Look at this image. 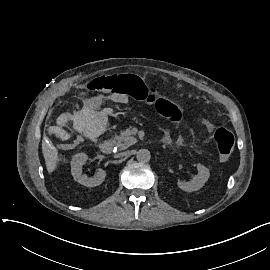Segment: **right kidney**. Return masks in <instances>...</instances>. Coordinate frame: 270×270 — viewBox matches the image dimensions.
Returning <instances> with one entry per match:
<instances>
[{"label": "right kidney", "instance_id": "right-kidney-1", "mask_svg": "<svg viewBox=\"0 0 270 270\" xmlns=\"http://www.w3.org/2000/svg\"><path fill=\"white\" fill-rule=\"evenodd\" d=\"M87 159L88 156L85 153L75 154L71 160V173L74 177V180L84 186H98L104 181L106 172L103 169H98V172L92 178H88L86 175H82V166L85 164Z\"/></svg>", "mask_w": 270, "mask_h": 270}]
</instances>
